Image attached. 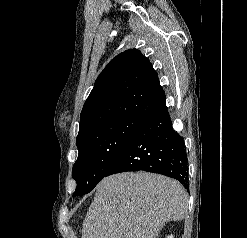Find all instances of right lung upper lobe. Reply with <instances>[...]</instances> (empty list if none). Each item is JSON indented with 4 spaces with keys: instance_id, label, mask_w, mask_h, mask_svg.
<instances>
[{
    "instance_id": "1",
    "label": "right lung upper lobe",
    "mask_w": 247,
    "mask_h": 238,
    "mask_svg": "<svg viewBox=\"0 0 247 238\" xmlns=\"http://www.w3.org/2000/svg\"><path fill=\"white\" fill-rule=\"evenodd\" d=\"M165 99L150 61L137 49H128L111 60L97 78L83 106L77 138L116 119H147L166 107Z\"/></svg>"
}]
</instances>
